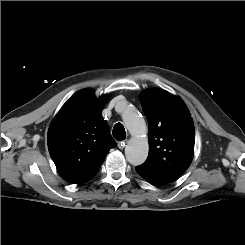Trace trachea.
<instances>
[{"label":"trachea","mask_w":245,"mask_h":245,"mask_svg":"<svg viewBox=\"0 0 245 245\" xmlns=\"http://www.w3.org/2000/svg\"><path fill=\"white\" fill-rule=\"evenodd\" d=\"M112 134L114 138L118 141L125 139L126 133L124 126L121 123L115 124Z\"/></svg>","instance_id":"trachea-1"}]
</instances>
